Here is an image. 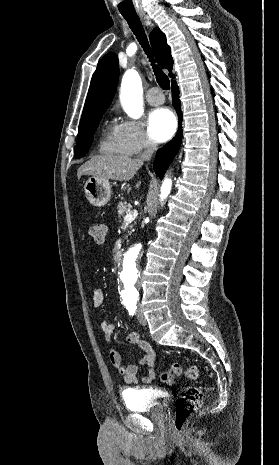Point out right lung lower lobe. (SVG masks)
<instances>
[{"label": "right lung lower lobe", "mask_w": 279, "mask_h": 465, "mask_svg": "<svg viewBox=\"0 0 279 465\" xmlns=\"http://www.w3.org/2000/svg\"><path fill=\"white\" fill-rule=\"evenodd\" d=\"M172 96H173V105L176 109L179 118V127L176 136L168 142L164 147L159 149L156 154V161L154 163L155 174L163 178L165 171L172 162L174 156L177 154L181 141H182V111H181V102L179 99V89L176 81H172L171 85Z\"/></svg>", "instance_id": "1"}]
</instances>
